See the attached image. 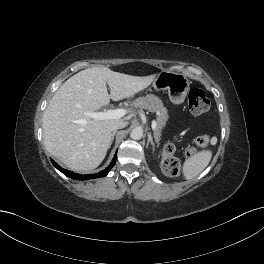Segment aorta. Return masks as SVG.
<instances>
[{
	"label": "aorta",
	"instance_id": "1",
	"mask_svg": "<svg viewBox=\"0 0 264 264\" xmlns=\"http://www.w3.org/2000/svg\"><path fill=\"white\" fill-rule=\"evenodd\" d=\"M143 136V130L141 128H135L131 131L130 137L134 140H139Z\"/></svg>",
	"mask_w": 264,
	"mask_h": 264
}]
</instances>
